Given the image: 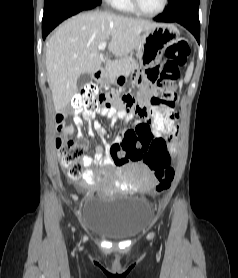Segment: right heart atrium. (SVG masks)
<instances>
[{
    "label": "right heart atrium",
    "instance_id": "d8ad5b80",
    "mask_svg": "<svg viewBox=\"0 0 238 278\" xmlns=\"http://www.w3.org/2000/svg\"><path fill=\"white\" fill-rule=\"evenodd\" d=\"M106 2H108L109 4L115 6L117 0H105Z\"/></svg>",
    "mask_w": 238,
    "mask_h": 278
}]
</instances>
